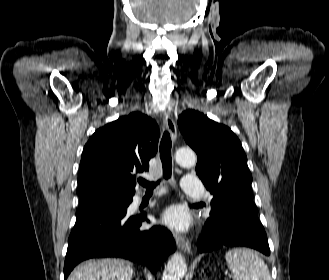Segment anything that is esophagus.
<instances>
[{
  "label": "esophagus",
  "mask_w": 329,
  "mask_h": 280,
  "mask_svg": "<svg viewBox=\"0 0 329 280\" xmlns=\"http://www.w3.org/2000/svg\"><path fill=\"white\" fill-rule=\"evenodd\" d=\"M164 125L170 133L172 140L175 142L177 138V127L173 118L168 113L164 114ZM174 238L179 249L186 253L191 252L190 242L185 236H182L178 233H174Z\"/></svg>",
  "instance_id": "obj_1"
}]
</instances>
